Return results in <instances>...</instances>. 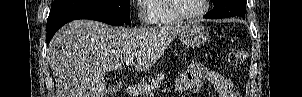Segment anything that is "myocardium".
<instances>
[{
    "mask_svg": "<svg viewBox=\"0 0 302 97\" xmlns=\"http://www.w3.org/2000/svg\"><path fill=\"white\" fill-rule=\"evenodd\" d=\"M175 2L176 0H169V9L171 13L175 16V18L179 21H190L197 19L207 12L209 6V0H202V7L199 11L190 15H186L179 12Z\"/></svg>",
    "mask_w": 302,
    "mask_h": 97,
    "instance_id": "1",
    "label": "myocardium"
}]
</instances>
